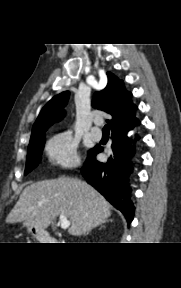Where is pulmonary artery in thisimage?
I'll return each instance as SVG.
<instances>
[{
    "instance_id": "e3ab8cb5",
    "label": "pulmonary artery",
    "mask_w": 181,
    "mask_h": 288,
    "mask_svg": "<svg viewBox=\"0 0 181 288\" xmlns=\"http://www.w3.org/2000/svg\"><path fill=\"white\" fill-rule=\"evenodd\" d=\"M90 134L95 140H100L102 138V131L97 126L91 128Z\"/></svg>"
}]
</instances>
